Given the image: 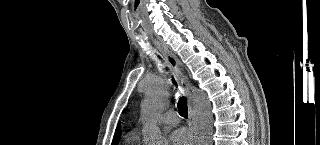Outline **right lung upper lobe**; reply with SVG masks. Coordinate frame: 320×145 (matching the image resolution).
Wrapping results in <instances>:
<instances>
[{"mask_svg":"<svg viewBox=\"0 0 320 145\" xmlns=\"http://www.w3.org/2000/svg\"><path fill=\"white\" fill-rule=\"evenodd\" d=\"M119 126H120V124H118V127H117V129H116V132H115V135H114V138H113V141H112V143H116L117 144V142H118V140H119V138H120V132H119Z\"/></svg>","mask_w":320,"mask_h":145,"instance_id":"1","label":"right lung upper lobe"}]
</instances>
